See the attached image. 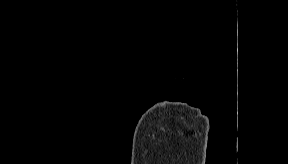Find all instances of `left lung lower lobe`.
<instances>
[{
    "label": "left lung lower lobe",
    "mask_w": 288,
    "mask_h": 164,
    "mask_svg": "<svg viewBox=\"0 0 288 164\" xmlns=\"http://www.w3.org/2000/svg\"><path fill=\"white\" fill-rule=\"evenodd\" d=\"M208 82H209V78L207 79V78H205L204 80H203V85H207L208 84Z\"/></svg>",
    "instance_id": "left-lung-lower-lobe-1"
}]
</instances>
